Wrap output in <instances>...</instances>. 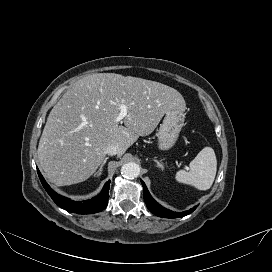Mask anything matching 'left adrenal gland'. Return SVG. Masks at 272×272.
<instances>
[{"label":"left adrenal gland","instance_id":"a2214340","mask_svg":"<svg viewBox=\"0 0 272 272\" xmlns=\"http://www.w3.org/2000/svg\"><path fill=\"white\" fill-rule=\"evenodd\" d=\"M154 162L157 164L158 167L163 168V164L161 161L154 159Z\"/></svg>","mask_w":272,"mask_h":272}]
</instances>
